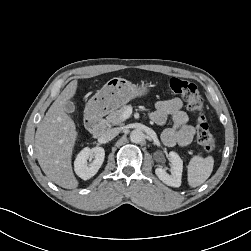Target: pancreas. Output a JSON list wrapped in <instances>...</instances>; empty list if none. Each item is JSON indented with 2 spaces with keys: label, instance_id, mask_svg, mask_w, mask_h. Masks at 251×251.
I'll return each instance as SVG.
<instances>
[{
  "label": "pancreas",
  "instance_id": "1",
  "mask_svg": "<svg viewBox=\"0 0 251 251\" xmlns=\"http://www.w3.org/2000/svg\"><path fill=\"white\" fill-rule=\"evenodd\" d=\"M128 108H130V106L122 105L119 109L111 111L110 114L106 117V123L112 125L121 124L124 121L122 115Z\"/></svg>",
  "mask_w": 251,
  "mask_h": 251
}]
</instances>
